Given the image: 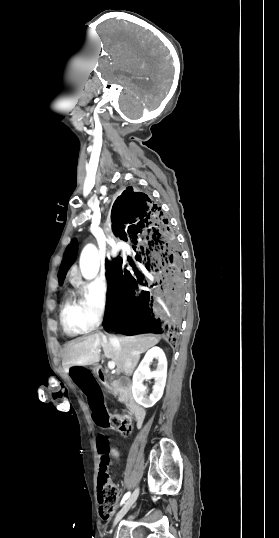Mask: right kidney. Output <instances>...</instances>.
Wrapping results in <instances>:
<instances>
[{"instance_id":"1","label":"right kidney","mask_w":279,"mask_h":538,"mask_svg":"<svg viewBox=\"0 0 279 538\" xmlns=\"http://www.w3.org/2000/svg\"><path fill=\"white\" fill-rule=\"evenodd\" d=\"M153 360H158L157 370H155V372H150L149 366H151V362H153ZM151 378H154L155 384L153 386L152 394H150V396H146L147 388L144 386L143 382L144 380H151ZM166 378V356L161 348H157V346H155V348L148 350L139 368H137L136 372H134L132 394L137 404L144 406V408H152V406H154V404H156V402L162 398Z\"/></svg>"}]
</instances>
